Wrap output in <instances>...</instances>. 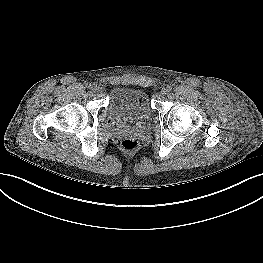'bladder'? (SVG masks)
Wrapping results in <instances>:
<instances>
[{
	"mask_svg": "<svg viewBox=\"0 0 263 263\" xmlns=\"http://www.w3.org/2000/svg\"><path fill=\"white\" fill-rule=\"evenodd\" d=\"M107 111L109 118L120 127L141 126L152 116L146 93L127 87L112 89Z\"/></svg>",
	"mask_w": 263,
	"mask_h": 263,
	"instance_id": "bladder-1",
	"label": "bladder"
}]
</instances>
